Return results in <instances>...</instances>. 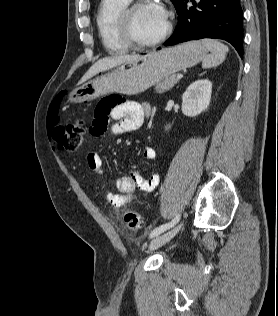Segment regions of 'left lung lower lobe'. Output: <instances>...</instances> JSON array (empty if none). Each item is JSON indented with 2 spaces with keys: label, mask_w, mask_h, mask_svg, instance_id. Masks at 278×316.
I'll return each mask as SVG.
<instances>
[{
  "label": "left lung lower lobe",
  "mask_w": 278,
  "mask_h": 316,
  "mask_svg": "<svg viewBox=\"0 0 278 316\" xmlns=\"http://www.w3.org/2000/svg\"><path fill=\"white\" fill-rule=\"evenodd\" d=\"M191 1L193 6L185 2ZM178 25L165 46L202 38L228 41L243 56V11L240 0H181ZM160 49V48H158Z\"/></svg>",
  "instance_id": "obj_1"
}]
</instances>
